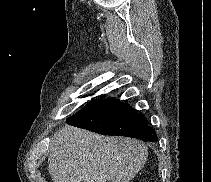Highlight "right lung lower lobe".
I'll return each mask as SVG.
<instances>
[{
	"label": "right lung lower lobe",
	"mask_w": 211,
	"mask_h": 182,
	"mask_svg": "<svg viewBox=\"0 0 211 182\" xmlns=\"http://www.w3.org/2000/svg\"><path fill=\"white\" fill-rule=\"evenodd\" d=\"M67 123L103 135L157 141L156 133L147 125L144 115L113 98L90 101L83 109L69 117Z\"/></svg>",
	"instance_id": "98d812e1"
}]
</instances>
